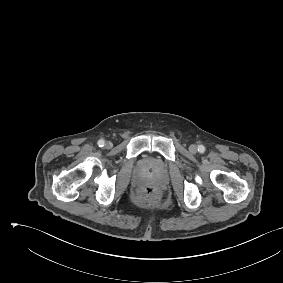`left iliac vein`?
<instances>
[{
  "label": "left iliac vein",
  "mask_w": 283,
  "mask_h": 283,
  "mask_svg": "<svg viewBox=\"0 0 283 283\" xmlns=\"http://www.w3.org/2000/svg\"><path fill=\"white\" fill-rule=\"evenodd\" d=\"M189 151L191 152V153H196L197 152V146L196 145H194V144H192V145H190L189 146Z\"/></svg>",
  "instance_id": "1"
}]
</instances>
